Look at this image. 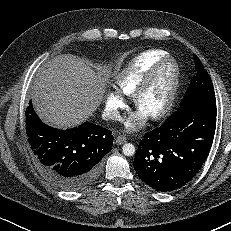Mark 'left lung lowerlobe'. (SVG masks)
<instances>
[{
	"label": "left lung lower lobe",
	"mask_w": 231,
	"mask_h": 231,
	"mask_svg": "<svg viewBox=\"0 0 231 231\" xmlns=\"http://www.w3.org/2000/svg\"><path fill=\"white\" fill-rule=\"evenodd\" d=\"M216 99L181 106L159 128L145 134L134 169L141 180L162 191L187 184L200 170L212 146Z\"/></svg>",
	"instance_id": "1"
}]
</instances>
